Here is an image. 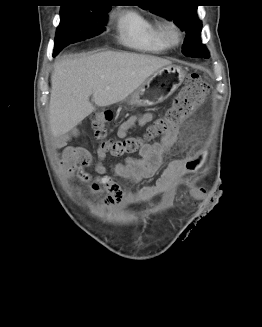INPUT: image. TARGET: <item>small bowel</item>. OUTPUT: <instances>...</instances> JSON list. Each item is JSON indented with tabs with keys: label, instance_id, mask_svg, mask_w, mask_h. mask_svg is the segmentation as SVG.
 I'll list each match as a JSON object with an SVG mask.
<instances>
[{
	"label": "small bowel",
	"instance_id": "c3829d8e",
	"mask_svg": "<svg viewBox=\"0 0 262 327\" xmlns=\"http://www.w3.org/2000/svg\"><path fill=\"white\" fill-rule=\"evenodd\" d=\"M153 113H138L125 120L117 130L119 138H125L128 134L138 127L149 124L154 119ZM179 127L174 128L162 139H154L146 144L140 151L139 158H130L123 163L112 166L111 171L126 179L132 184L139 183L144 179L153 177L162 165L163 157L177 143L179 137ZM78 131L64 136L60 144L64 145L70 136L77 135ZM98 163L96 165V174L87 172L91 164L90 153L82 147L65 146L59 166L65 175L74 173L84 182H86L92 193L98 194L105 190L107 195L104 199V205L116 207L121 205H132L138 202L150 200L159 195H169L178 187L181 178L188 173V165H198L195 158V152L190 151L184 157L172 160L163 170L156 183L144 186L136 192L124 189L110 175L102 161L106 157V151L99 145L97 148ZM192 206H201L208 194L207 188H189L188 190Z\"/></svg>",
	"mask_w": 262,
	"mask_h": 327
}]
</instances>
